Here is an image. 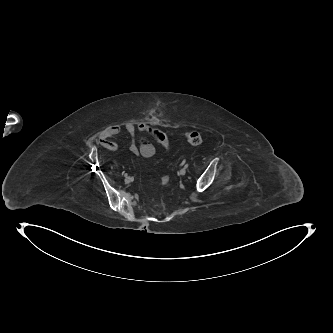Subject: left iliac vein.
I'll return each mask as SVG.
<instances>
[{
    "label": "left iliac vein",
    "mask_w": 333,
    "mask_h": 333,
    "mask_svg": "<svg viewBox=\"0 0 333 333\" xmlns=\"http://www.w3.org/2000/svg\"><path fill=\"white\" fill-rule=\"evenodd\" d=\"M185 173H186V169H185V168H182V169L178 172V174H179L180 176L185 175Z\"/></svg>",
    "instance_id": "left-iliac-vein-1"
}]
</instances>
